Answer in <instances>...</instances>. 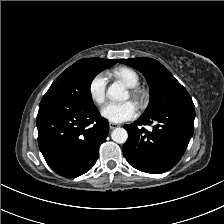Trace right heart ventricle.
<instances>
[{"label": "right heart ventricle", "instance_id": "1", "mask_svg": "<svg viewBox=\"0 0 224 224\" xmlns=\"http://www.w3.org/2000/svg\"><path fill=\"white\" fill-rule=\"evenodd\" d=\"M114 78L122 81L127 87H137L140 84L138 73L129 67H118L110 73Z\"/></svg>", "mask_w": 224, "mask_h": 224}]
</instances>
